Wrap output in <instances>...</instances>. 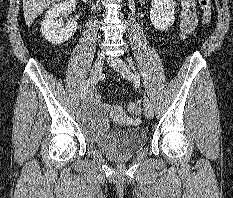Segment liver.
Returning a JSON list of instances; mask_svg holds the SVG:
<instances>
[{"label":"liver","instance_id":"liver-1","mask_svg":"<svg viewBox=\"0 0 233 198\" xmlns=\"http://www.w3.org/2000/svg\"><path fill=\"white\" fill-rule=\"evenodd\" d=\"M57 2H60V0H23L26 25L30 26L38 15Z\"/></svg>","mask_w":233,"mask_h":198}]
</instances>
